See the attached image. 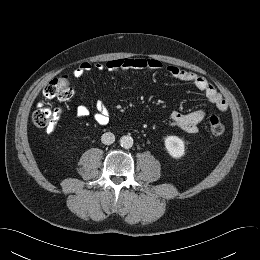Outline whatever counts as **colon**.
I'll use <instances>...</instances> for the list:
<instances>
[{"label":"colon","mask_w":260,"mask_h":260,"mask_svg":"<svg viewBox=\"0 0 260 260\" xmlns=\"http://www.w3.org/2000/svg\"><path fill=\"white\" fill-rule=\"evenodd\" d=\"M43 95L46 99L69 101L73 95L70 78L67 75H61L52 79L45 86ZM58 116L59 111L57 109H52L42 102L33 113V122L37 127L53 129ZM208 128L210 134L214 137H221L225 131L222 121L215 115L209 117Z\"/></svg>","instance_id":"1"}]
</instances>
